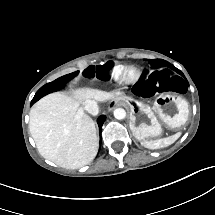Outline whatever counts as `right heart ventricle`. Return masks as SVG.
Listing matches in <instances>:
<instances>
[{
  "label": "right heart ventricle",
  "mask_w": 215,
  "mask_h": 215,
  "mask_svg": "<svg viewBox=\"0 0 215 215\" xmlns=\"http://www.w3.org/2000/svg\"><path fill=\"white\" fill-rule=\"evenodd\" d=\"M114 68H112L110 71H109V75H110V73H111V71L113 70Z\"/></svg>",
  "instance_id": "1"
}]
</instances>
